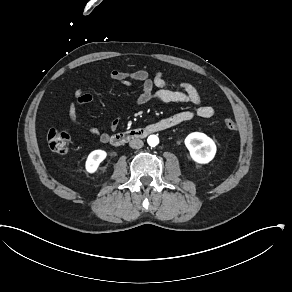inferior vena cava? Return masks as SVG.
<instances>
[{
    "instance_id": "inferior-vena-cava-1",
    "label": "inferior vena cava",
    "mask_w": 292,
    "mask_h": 292,
    "mask_svg": "<svg viewBox=\"0 0 292 292\" xmlns=\"http://www.w3.org/2000/svg\"><path fill=\"white\" fill-rule=\"evenodd\" d=\"M144 145L143 141L140 139H133L129 142V146L134 149H140Z\"/></svg>"
}]
</instances>
